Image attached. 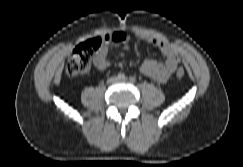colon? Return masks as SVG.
<instances>
[{"label": "colon", "instance_id": "obj_1", "mask_svg": "<svg viewBox=\"0 0 243 167\" xmlns=\"http://www.w3.org/2000/svg\"><path fill=\"white\" fill-rule=\"evenodd\" d=\"M103 43V38L94 37L78 44L67 62L66 73L72 77L87 74L91 68L93 56L100 50ZM184 75L182 68L176 71L177 78H183Z\"/></svg>", "mask_w": 243, "mask_h": 167}]
</instances>
